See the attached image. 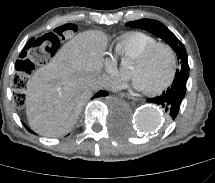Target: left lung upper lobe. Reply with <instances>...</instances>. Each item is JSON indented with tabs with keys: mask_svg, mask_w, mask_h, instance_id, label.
Listing matches in <instances>:
<instances>
[{
	"mask_svg": "<svg viewBox=\"0 0 215 183\" xmlns=\"http://www.w3.org/2000/svg\"><path fill=\"white\" fill-rule=\"evenodd\" d=\"M127 26L145 29L166 41L176 52L178 60L181 63V68L177 69L175 77L179 75L189 76V65L185 47L165 25L156 20L141 19L129 22Z\"/></svg>",
	"mask_w": 215,
	"mask_h": 183,
	"instance_id": "5c2ea615",
	"label": "left lung upper lobe"
}]
</instances>
